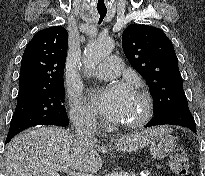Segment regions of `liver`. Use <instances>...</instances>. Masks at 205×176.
<instances>
[{
    "label": "liver",
    "mask_w": 205,
    "mask_h": 176,
    "mask_svg": "<svg viewBox=\"0 0 205 176\" xmlns=\"http://www.w3.org/2000/svg\"><path fill=\"white\" fill-rule=\"evenodd\" d=\"M165 127L149 128L117 140L111 150L132 152L144 148ZM98 152H108L105 146L85 144L69 131L57 127L26 130L12 139L5 152V176H59L43 162H52L82 174L96 173L102 167Z\"/></svg>",
    "instance_id": "6515ba94"
}]
</instances>
